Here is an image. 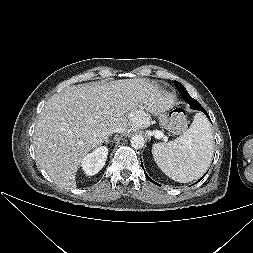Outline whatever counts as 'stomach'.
<instances>
[{
	"mask_svg": "<svg viewBox=\"0 0 253 253\" xmlns=\"http://www.w3.org/2000/svg\"><path fill=\"white\" fill-rule=\"evenodd\" d=\"M168 118H169L168 113L166 111H161L159 113V124H158V126H159L160 129H162V130L165 129L166 126L169 124V119Z\"/></svg>",
	"mask_w": 253,
	"mask_h": 253,
	"instance_id": "obj_1",
	"label": "stomach"
}]
</instances>
